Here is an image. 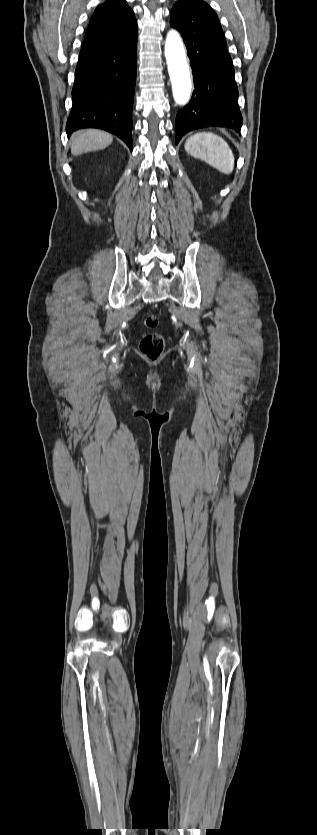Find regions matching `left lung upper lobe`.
I'll return each mask as SVG.
<instances>
[{"mask_svg": "<svg viewBox=\"0 0 317 835\" xmlns=\"http://www.w3.org/2000/svg\"><path fill=\"white\" fill-rule=\"evenodd\" d=\"M179 1H182V0H179ZM179 1H178V2H179ZM191 1H194L195 3H197V4H199V5H202V6H209V5H207V3H205V2H204V1H202V0H191ZM178 2H177L174 6H173L172 11H176V10H177V4H178ZM172 11H171V12H172Z\"/></svg>", "mask_w": 317, "mask_h": 835, "instance_id": "1", "label": "left lung upper lobe"}]
</instances>
